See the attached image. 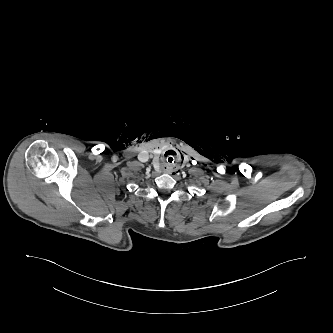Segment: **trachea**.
<instances>
[{
  "label": "trachea",
  "instance_id": "obj_1",
  "mask_svg": "<svg viewBox=\"0 0 333 333\" xmlns=\"http://www.w3.org/2000/svg\"><path fill=\"white\" fill-rule=\"evenodd\" d=\"M177 161V156L174 153H167L164 157H163V162L167 165V166H172L174 163H176Z\"/></svg>",
  "mask_w": 333,
  "mask_h": 333
}]
</instances>
